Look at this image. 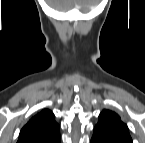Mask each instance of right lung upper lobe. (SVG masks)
<instances>
[{"label":"right lung upper lobe","instance_id":"cb5924a9","mask_svg":"<svg viewBox=\"0 0 145 143\" xmlns=\"http://www.w3.org/2000/svg\"><path fill=\"white\" fill-rule=\"evenodd\" d=\"M59 131L60 127L54 120V114L45 109L22 128L18 143H60Z\"/></svg>","mask_w":145,"mask_h":143}]
</instances>
